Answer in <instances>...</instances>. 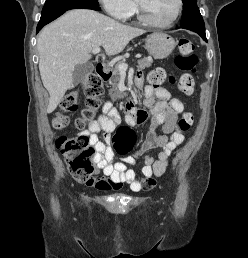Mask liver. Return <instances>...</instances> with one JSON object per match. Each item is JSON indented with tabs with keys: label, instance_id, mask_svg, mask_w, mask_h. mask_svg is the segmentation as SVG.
Here are the masks:
<instances>
[{
	"label": "liver",
	"instance_id": "obj_1",
	"mask_svg": "<svg viewBox=\"0 0 248 258\" xmlns=\"http://www.w3.org/2000/svg\"><path fill=\"white\" fill-rule=\"evenodd\" d=\"M144 33L88 9L68 11L44 27L37 49L41 79L50 95L47 112L56 109L74 81L75 67L87 63L95 47L102 45L108 56L117 55L130 40Z\"/></svg>",
	"mask_w": 248,
	"mask_h": 258
}]
</instances>
